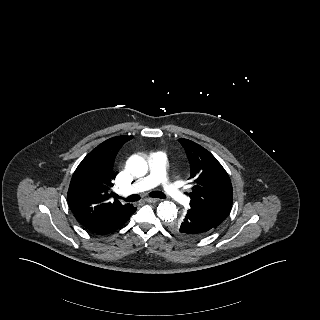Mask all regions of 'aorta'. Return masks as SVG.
Instances as JSON below:
<instances>
[{
	"label": "aorta",
	"mask_w": 320,
	"mask_h": 320,
	"mask_svg": "<svg viewBox=\"0 0 320 320\" xmlns=\"http://www.w3.org/2000/svg\"><path fill=\"white\" fill-rule=\"evenodd\" d=\"M126 166L129 172L135 177L145 176L148 172V164L144 157L139 154H133L127 160ZM158 217L166 223H172L176 220L178 209L176 205L169 201L161 202L157 207Z\"/></svg>",
	"instance_id": "obj_1"
}]
</instances>
